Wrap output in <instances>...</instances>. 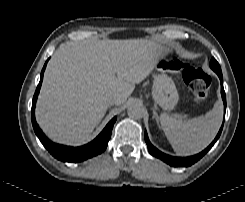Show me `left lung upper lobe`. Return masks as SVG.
Instances as JSON below:
<instances>
[{"label":"left lung upper lobe","mask_w":245,"mask_h":202,"mask_svg":"<svg viewBox=\"0 0 245 202\" xmlns=\"http://www.w3.org/2000/svg\"><path fill=\"white\" fill-rule=\"evenodd\" d=\"M210 67L211 69L217 73H222L219 63L215 60V58H212L210 61Z\"/></svg>","instance_id":"obj_1"}]
</instances>
